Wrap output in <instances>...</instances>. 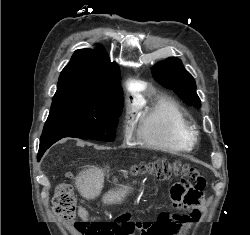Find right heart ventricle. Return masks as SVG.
<instances>
[{
	"label": "right heart ventricle",
	"mask_w": 250,
	"mask_h": 235,
	"mask_svg": "<svg viewBox=\"0 0 250 235\" xmlns=\"http://www.w3.org/2000/svg\"><path fill=\"white\" fill-rule=\"evenodd\" d=\"M137 139L143 145L172 154L190 151L194 131L179 104L161 96L148 104L138 103Z\"/></svg>",
	"instance_id": "right-heart-ventricle-1"
}]
</instances>
